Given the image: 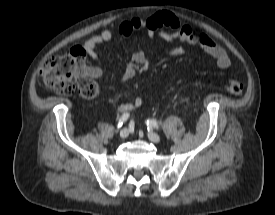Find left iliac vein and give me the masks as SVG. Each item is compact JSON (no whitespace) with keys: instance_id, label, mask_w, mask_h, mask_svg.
Returning <instances> with one entry per match:
<instances>
[{"instance_id":"1","label":"left iliac vein","mask_w":275,"mask_h":215,"mask_svg":"<svg viewBox=\"0 0 275 215\" xmlns=\"http://www.w3.org/2000/svg\"><path fill=\"white\" fill-rule=\"evenodd\" d=\"M147 137L149 138V140H151L154 143H159L161 141L160 136L151 131L147 132Z\"/></svg>"}]
</instances>
